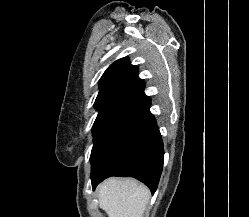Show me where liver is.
Masks as SVG:
<instances>
[{
  "label": "liver",
  "mask_w": 249,
  "mask_h": 217,
  "mask_svg": "<svg viewBox=\"0 0 249 217\" xmlns=\"http://www.w3.org/2000/svg\"><path fill=\"white\" fill-rule=\"evenodd\" d=\"M149 189L134 179L109 178L98 187L99 207L108 217H143Z\"/></svg>",
  "instance_id": "obj_1"
}]
</instances>
